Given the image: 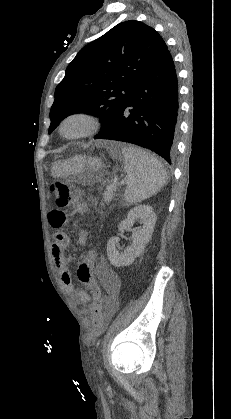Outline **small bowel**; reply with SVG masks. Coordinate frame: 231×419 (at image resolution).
I'll list each match as a JSON object with an SVG mask.
<instances>
[{"instance_id": "small-bowel-1", "label": "small bowel", "mask_w": 231, "mask_h": 419, "mask_svg": "<svg viewBox=\"0 0 231 419\" xmlns=\"http://www.w3.org/2000/svg\"><path fill=\"white\" fill-rule=\"evenodd\" d=\"M70 216L62 211H52L48 215L50 224L54 228H58L60 232H57L53 236L52 241V256L54 264L59 271L60 279L65 289L74 296V298L81 304L87 305V297L90 296L86 291L75 288L72 282L71 272L69 269L70 258L66 256V249L69 245V237L66 233L68 225L66 224ZM57 223H60L57 226ZM87 241V232L82 231L80 234V242L85 244ZM95 262V261H94ZM94 263L92 264L93 267ZM96 274L98 275L106 292V304L108 306V315H111L117 306V287L118 281L110 273L104 262L101 260L96 268Z\"/></svg>"}]
</instances>
